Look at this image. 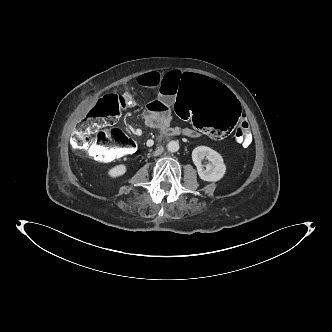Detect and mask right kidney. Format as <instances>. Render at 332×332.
I'll list each match as a JSON object with an SVG mask.
<instances>
[{
    "mask_svg": "<svg viewBox=\"0 0 332 332\" xmlns=\"http://www.w3.org/2000/svg\"><path fill=\"white\" fill-rule=\"evenodd\" d=\"M127 172V166L125 164H118L112 168H110L107 174L111 178H117L124 175Z\"/></svg>",
    "mask_w": 332,
    "mask_h": 332,
    "instance_id": "right-kidney-1",
    "label": "right kidney"
}]
</instances>
